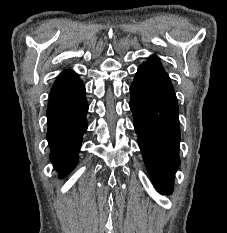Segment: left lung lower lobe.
<instances>
[{
	"label": "left lung lower lobe",
	"mask_w": 227,
	"mask_h": 233,
	"mask_svg": "<svg viewBox=\"0 0 227 233\" xmlns=\"http://www.w3.org/2000/svg\"><path fill=\"white\" fill-rule=\"evenodd\" d=\"M130 109L147 170L160 193L171 194L180 165L177 98L165 71L141 65L130 87Z\"/></svg>",
	"instance_id": "0a47b994"
}]
</instances>
